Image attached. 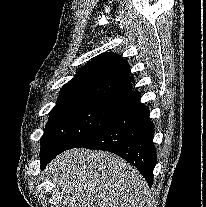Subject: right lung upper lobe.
<instances>
[{"label":"right lung upper lobe","instance_id":"cb5924a9","mask_svg":"<svg viewBox=\"0 0 206 207\" xmlns=\"http://www.w3.org/2000/svg\"><path fill=\"white\" fill-rule=\"evenodd\" d=\"M129 72L128 62L118 54H102L88 62L62 87L57 102L128 96L132 91Z\"/></svg>","mask_w":206,"mask_h":207}]
</instances>
